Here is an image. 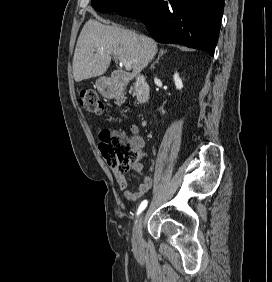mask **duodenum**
I'll list each match as a JSON object with an SVG mask.
<instances>
[{
    "label": "duodenum",
    "instance_id": "410a0bca",
    "mask_svg": "<svg viewBox=\"0 0 272 282\" xmlns=\"http://www.w3.org/2000/svg\"><path fill=\"white\" fill-rule=\"evenodd\" d=\"M126 80H129L127 73L119 72L114 74L103 86L106 97L112 100L120 99L123 84ZM135 95L139 103H145L149 100L150 89L146 79L142 76H138L135 79Z\"/></svg>",
    "mask_w": 272,
    "mask_h": 282
}]
</instances>
